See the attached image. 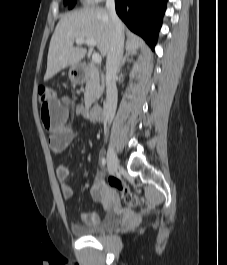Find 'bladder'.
Masks as SVG:
<instances>
[{
  "mask_svg": "<svg viewBox=\"0 0 227 265\" xmlns=\"http://www.w3.org/2000/svg\"><path fill=\"white\" fill-rule=\"evenodd\" d=\"M120 223V218L114 212L108 214L96 225L73 224L72 232L80 237H96L115 229Z\"/></svg>",
  "mask_w": 227,
  "mask_h": 265,
  "instance_id": "bladder-1",
  "label": "bladder"
}]
</instances>
